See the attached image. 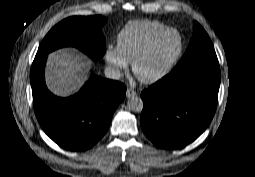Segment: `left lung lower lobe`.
<instances>
[{"label":"left lung lower lobe","mask_w":255,"mask_h":177,"mask_svg":"<svg viewBox=\"0 0 255 177\" xmlns=\"http://www.w3.org/2000/svg\"><path fill=\"white\" fill-rule=\"evenodd\" d=\"M218 60L197 61L172 70L141 93V126L165 149L194 141L211 122L220 85Z\"/></svg>","instance_id":"0a47b994"}]
</instances>
